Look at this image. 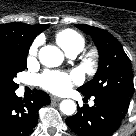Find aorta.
<instances>
[{
  "label": "aorta",
  "instance_id": "obj_1",
  "mask_svg": "<svg viewBox=\"0 0 136 136\" xmlns=\"http://www.w3.org/2000/svg\"><path fill=\"white\" fill-rule=\"evenodd\" d=\"M39 60L46 67H57L63 62L64 56L61 50L52 45L43 46L39 50ZM60 110L65 115H73L76 111V103L73 100H63L60 103Z\"/></svg>",
  "mask_w": 136,
  "mask_h": 136
}]
</instances>
